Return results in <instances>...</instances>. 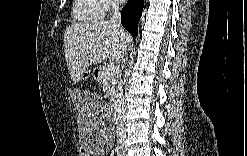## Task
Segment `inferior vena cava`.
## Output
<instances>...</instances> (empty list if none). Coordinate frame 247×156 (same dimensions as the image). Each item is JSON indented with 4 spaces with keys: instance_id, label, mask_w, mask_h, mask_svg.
<instances>
[{
    "instance_id": "inferior-vena-cava-1",
    "label": "inferior vena cava",
    "mask_w": 247,
    "mask_h": 156,
    "mask_svg": "<svg viewBox=\"0 0 247 156\" xmlns=\"http://www.w3.org/2000/svg\"><path fill=\"white\" fill-rule=\"evenodd\" d=\"M121 19V13H120V7L117 2H112V16L110 19V22L117 27L121 26L120 23ZM119 88V97L117 100V130H118V136L120 138H125L126 137V131L124 127V121H125V99L123 96V88H122V83L120 82L118 85Z\"/></svg>"
}]
</instances>
